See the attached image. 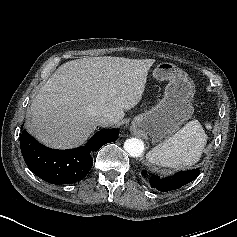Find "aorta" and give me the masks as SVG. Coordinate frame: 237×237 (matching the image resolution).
Masks as SVG:
<instances>
[{"instance_id": "1", "label": "aorta", "mask_w": 237, "mask_h": 237, "mask_svg": "<svg viewBox=\"0 0 237 237\" xmlns=\"http://www.w3.org/2000/svg\"><path fill=\"white\" fill-rule=\"evenodd\" d=\"M144 142L138 138L127 139L124 142L125 151L132 157H140L144 152Z\"/></svg>"}]
</instances>
